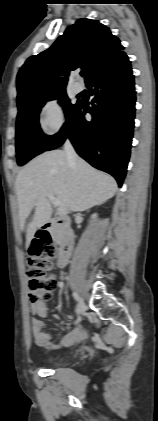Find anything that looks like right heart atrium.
Here are the masks:
<instances>
[{
  "instance_id": "right-heart-atrium-1",
  "label": "right heart atrium",
  "mask_w": 158,
  "mask_h": 421,
  "mask_svg": "<svg viewBox=\"0 0 158 421\" xmlns=\"http://www.w3.org/2000/svg\"><path fill=\"white\" fill-rule=\"evenodd\" d=\"M65 113L60 101L49 98L43 102L38 112V124L46 135L57 134L64 126Z\"/></svg>"
}]
</instances>
